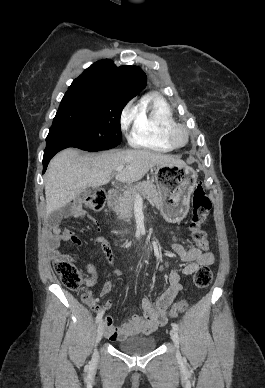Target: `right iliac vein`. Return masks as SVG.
Instances as JSON below:
<instances>
[{"label":"right iliac vein","mask_w":265,"mask_h":388,"mask_svg":"<svg viewBox=\"0 0 265 388\" xmlns=\"http://www.w3.org/2000/svg\"><path fill=\"white\" fill-rule=\"evenodd\" d=\"M103 333H104V323L101 321V323L99 324V326L97 328L96 344H98L100 342V340L102 339ZM97 357H98V352L95 350L94 358L96 359Z\"/></svg>","instance_id":"obj_1"}]
</instances>
